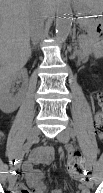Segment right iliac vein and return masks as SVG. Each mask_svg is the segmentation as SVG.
<instances>
[{
  "label": "right iliac vein",
  "mask_w": 103,
  "mask_h": 193,
  "mask_svg": "<svg viewBox=\"0 0 103 193\" xmlns=\"http://www.w3.org/2000/svg\"><path fill=\"white\" fill-rule=\"evenodd\" d=\"M40 134V131L37 127H33L29 133V138L28 140L29 141H34L35 139H37L38 135ZM9 181L10 183L14 182V179H15V171L11 172L9 174Z\"/></svg>",
  "instance_id": "63e3f726"
}]
</instances>
